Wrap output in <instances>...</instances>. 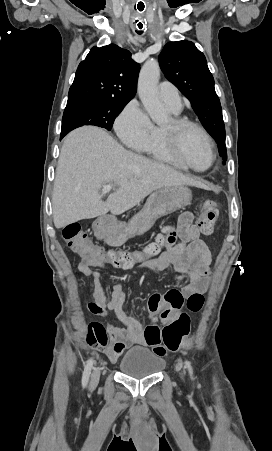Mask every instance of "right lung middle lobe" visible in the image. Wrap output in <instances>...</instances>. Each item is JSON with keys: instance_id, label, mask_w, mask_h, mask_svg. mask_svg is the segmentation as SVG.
Returning <instances> with one entry per match:
<instances>
[{"instance_id": "obj_1", "label": "right lung middle lobe", "mask_w": 272, "mask_h": 451, "mask_svg": "<svg viewBox=\"0 0 272 451\" xmlns=\"http://www.w3.org/2000/svg\"><path fill=\"white\" fill-rule=\"evenodd\" d=\"M127 103L97 99L67 102L62 119L60 139L69 131L83 125H94L111 130L115 118Z\"/></svg>"}]
</instances>
